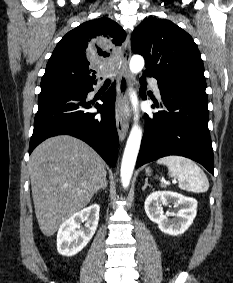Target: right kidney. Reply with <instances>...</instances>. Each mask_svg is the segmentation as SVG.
<instances>
[{"instance_id": "obj_1", "label": "right kidney", "mask_w": 233, "mask_h": 283, "mask_svg": "<svg viewBox=\"0 0 233 283\" xmlns=\"http://www.w3.org/2000/svg\"><path fill=\"white\" fill-rule=\"evenodd\" d=\"M99 211V205L92 204L73 214L60 226L57 233L59 254L74 256L88 244L97 229ZM84 221H86L85 227L80 228L81 222Z\"/></svg>"}]
</instances>
